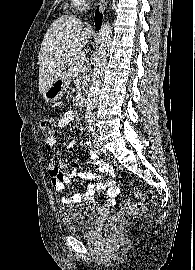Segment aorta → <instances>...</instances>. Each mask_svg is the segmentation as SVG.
<instances>
[{
  "instance_id": "aorta-1",
  "label": "aorta",
  "mask_w": 195,
  "mask_h": 270,
  "mask_svg": "<svg viewBox=\"0 0 195 270\" xmlns=\"http://www.w3.org/2000/svg\"><path fill=\"white\" fill-rule=\"evenodd\" d=\"M112 28L109 22L104 23L99 31V49L95 62L94 72L91 79V86L87 100L86 114L92 118L95 115V107L98 102L99 87L103 76L105 61L108 56L111 44Z\"/></svg>"
}]
</instances>
